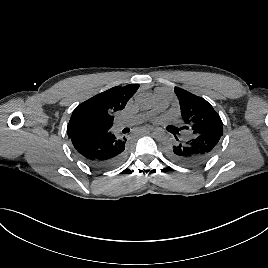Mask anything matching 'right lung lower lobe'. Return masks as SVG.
Returning <instances> with one entry per match:
<instances>
[{
  "mask_svg": "<svg viewBox=\"0 0 268 268\" xmlns=\"http://www.w3.org/2000/svg\"><path fill=\"white\" fill-rule=\"evenodd\" d=\"M78 156L87 164L108 169L121 162L125 150V137L120 138L109 131L90 136L69 137Z\"/></svg>",
  "mask_w": 268,
  "mask_h": 268,
  "instance_id": "obj_1",
  "label": "right lung lower lobe"
}]
</instances>
